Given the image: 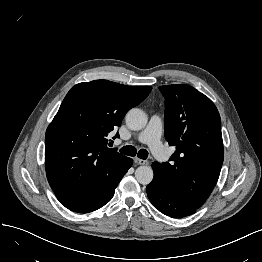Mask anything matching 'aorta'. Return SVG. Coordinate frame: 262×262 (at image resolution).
I'll return each instance as SVG.
<instances>
[{
    "label": "aorta",
    "instance_id": "aorta-1",
    "mask_svg": "<svg viewBox=\"0 0 262 262\" xmlns=\"http://www.w3.org/2000/svg\"><path fill=\"white\" fill-rule=\"evenodd\" d=\"M147 115L138 108H132L126 114V124L132 130H141L147 124ZM153 170L149 166H139L135 171L136 180L142 185H148L153 180Z\"/></svg>",
    "mask_w": 262,
    "mask_h": 262
}]
</instances>
